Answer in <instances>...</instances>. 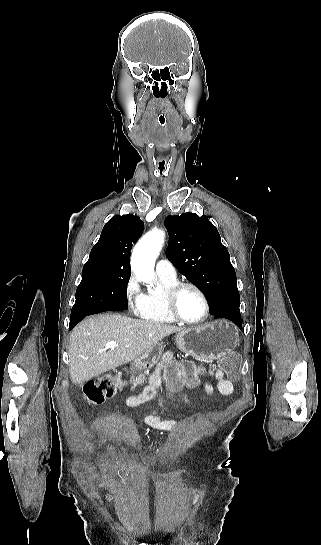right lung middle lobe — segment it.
<instances>
[{
  "label": "right lung middle lobe",
  "instance_id": "1",
  "mask_svg": "<svg viewBox=\"0 0 321 545\" xmlns=\"http://www.w3.org/2000/svg\"><path fill=\"white\" fill-rule=\"evenodd\" d=\"M130 273L104 269L83 270L71 318L108 311L116 301L126 299Z\"/></svg>",
  "mask_w": 321,
  "mask_h": 545
}]
</instances>
